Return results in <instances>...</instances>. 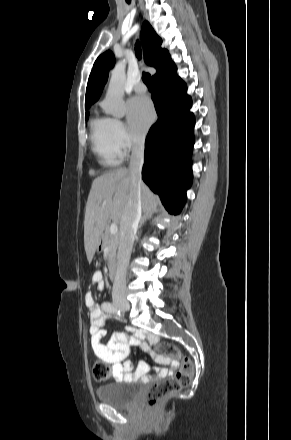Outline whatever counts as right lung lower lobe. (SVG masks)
I'll list each match as a JSON object with an SVG mask.
<instances>
[{"label": "right lung lower lobe", "instance_id": "98d812e1", "mask_svg": "<svg viewBox=\"0 0 291 440\" xmlns=\"http://www.w3.org/2000/svg\"><path fill=\"white\" fill-rule=\"evenodd\" d=\"M153 88L158 120L146 137L142 179L170 213L178 214L192 182V101L176 68L153 79Z\"/></svg>", "mask_w": 291, "mask_h": 440}]
</instances>
